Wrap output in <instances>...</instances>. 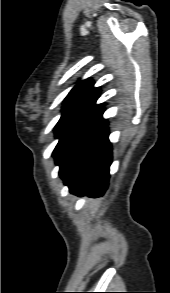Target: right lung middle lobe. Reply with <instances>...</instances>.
Instances as JSON below:
<instances>
[{"label": "right lung middle lobe", "instance_id": "right-lung-middle-lobe-1", "mask_svg": "<svg viewBox=\"0 0 170 293\" xmlns=\"http://www.w3.org/2000/svg\"><path fill=\"white\" fill-rule=\"evenodd\" d=\"M104 108H77L64 111L55 127L59 142L53 152L62 172L78 155L104 119Z\"/></svg>", "mask_w": 170, "mask_h": 293}]
</instances>
